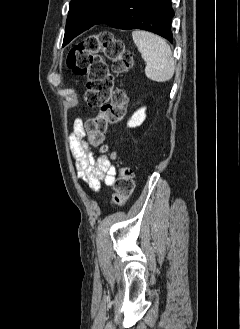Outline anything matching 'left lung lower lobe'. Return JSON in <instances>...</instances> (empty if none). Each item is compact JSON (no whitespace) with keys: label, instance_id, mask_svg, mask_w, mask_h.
I'll return each instance as SVG.
<instances>
[{"label":"left lung lower lobe","instance_id":"left-lung-lower-lobe-1","mask_svg":"<svg viewBox=\"0 0 240 329\" xmlns=\"http://www.w3.org/2000/svg\"><path fill=\"white\" fill-rule=\"evenodd\" d=\"M174 11L171 0H120L96 24L118 29H143L154 32L171 43V20Z\"/></svg>","mask_w":240,"mask_h":329}]
</instances>
